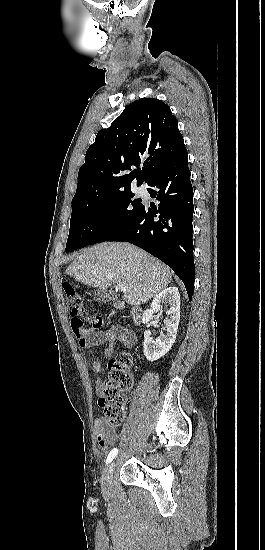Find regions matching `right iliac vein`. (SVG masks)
Returning a JSON list of instances; mask_svg holds the SVG:
<instances>
[{"label":"right iliac vein","mask_w":265,"mask_h":550,"mask_svg":"<svg viewBox=\"0 0 265 550\" xmlns=\"http://www.w3.org/2000/svg\"><path fill=\"white\" fill-rule=\"evenodd\" d=\"M114 468H115V461L111 462L109 466L105 469L102 477V482L104 486L109 484L113 476Z\"/></svg>","instance_id":"1"}]
</instances>
